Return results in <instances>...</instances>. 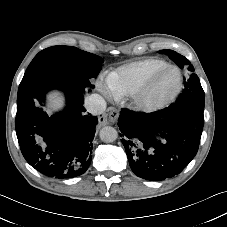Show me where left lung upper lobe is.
Returning a JSON list of instances; mask_svg holds the SVG:
<instances>
[{
    "label": "left lung upper lobe",
    "mask_w": 227,
    "mask_h": 227,
    "mask_svg": "<svg viewBox=\"0 0 227 227\" xmlns=\"http://www.w3.org/2000/svg\"><path fill=\"white\" fill-rule=\"evenodd\" d=\"M159 52L168 55L169 58L172 59L181 69L188 67L189 77L184 81L185 89L178 97V99L193 98L198 100H204V91L201 87L198 76L193 73L194 68L190 64L189 60H187L184 56L178 54L173 50H160Z\"/></svg>",
    "instance_id": "5c2ea615"
}]
</instances>
